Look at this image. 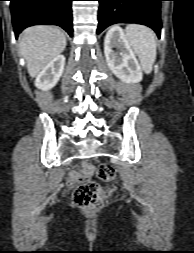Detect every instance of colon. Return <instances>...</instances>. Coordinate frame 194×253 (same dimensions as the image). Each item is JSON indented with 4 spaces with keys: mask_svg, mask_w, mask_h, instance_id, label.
<instances>
[{
    "mask_svg": "<svg viewBox=\"0 0 194 253\" xmlns=\"http://www.w3.org/2000/svg\"><path fill=\"white\" fill-rule=\"evenodd\" d=\"M84 176L89 177L94 173L100 180L112 181L116 178L115 170L107 164H101L94 167L91 164H83ZM112 191V187L102 190L96 183H86L75 188L72 194L73 203L75 206L85 210H97L104 205V202Z\"/></svg>",
    "mask_w": 194,
    "mask_h": 253,
    "instance_id": "5ec220e1",
    "label": "colon"
}]
</instances>
